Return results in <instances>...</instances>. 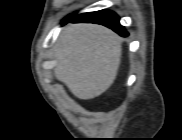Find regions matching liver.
Here are the masks:
<instances>
[{"label":"liver","mask_w":182,"mask_h":140,"mask_svg":"<svg viewBox=\"0 0 182 140\" xmlns=\"http://www.w3.org/2000/svg\"><path fill=\"white\" fill-rule=\"evenodd\" d=\"M54 76L79 99L104 93L120 65L121 39L95 24H72L61 33L56 47Z\"/></svg>","instance_id":"1"}]
</instances>
